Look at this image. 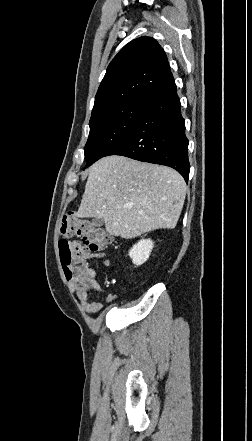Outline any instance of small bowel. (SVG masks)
Here are the masks:
<instances>
[{"label": "small bowel", "mask_w": 252, "mask_h": 441, "mask_svg": "<svg viewBox=\"0 0 252 441\" xmlns=\"http://www.w3.org/2000/svg\"><path fill=\"white\" fill-rule=\"evenodd\" d=\"M94 255L91 252H84L82 254V259L92 258ZM103 265H109V261L106 259L102 260ZM73 289L76 292L81 305L85 311L89 314H97L102 309V303L98 300H93L91 298L92 292L105 293V298L107 302H113L116 296L112 293L105 292L101 285L96 279V271L94 266L85 264V274L81 282H72Z\"/></svg>", "instance_id": "1"}]
</instances>
